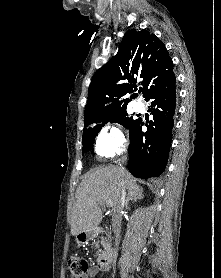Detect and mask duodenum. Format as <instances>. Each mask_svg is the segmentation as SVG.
<instances>
[{
	"mask_svg": "<svg viewBox=\"0 0 221 278\" xmlns=\"http://www.w3.org/2000/svg\"><path fill=\"white\" fill-rule=\"evenodd\" d=\"M102 232H103L102 229H93V230H89V231H83L79 235V242L82 244H85ZM112 254H113V250L109 249L99 255L98 260H97L99 269H101V270L108 269L110 262H111Z\"/></svg>",
	"mask_w": 221,
	"mask_h": 278,
	"instance_id": "1",
	"label": "duodenum"
}]
</instances>
